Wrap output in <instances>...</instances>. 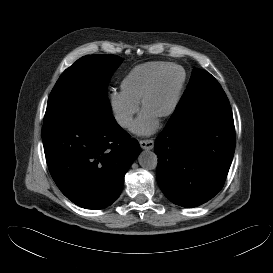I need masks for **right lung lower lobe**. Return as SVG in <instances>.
<instances>
[{"label": "right lung lower lobe", "instance_id": "right-lung-lower-lobe-1", "mask_svg": "<svg viewBox=\"0 0 273 273\" xmlns=\"http://www.w3.org/2000/svg\"><path fill=\"white\" fill-rule=\"evenodd\" d=\"M42 140L52 178L72 202L103 209L120 195L124 176L140 153L111 112L69 109L44 120Z\"/></svg>", "mask_w": 273, "mask_h": 273}]
</instances>
